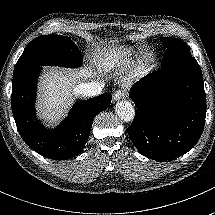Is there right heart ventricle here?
Listing matches in <instances>:
<instances>
[{
  "label": "right heart ventricle",
  "mask_w": 215,
  "mask_h": 215,
  "mask_svg": "<svg viewBox=\"0 0 215 215\" xmlns=\"http://www.w3.org/2000/svg\"><path fill=\"white\" fill-rule=\"evenodd\" d=\"M132 52V47L127 45H118L110 48L97 60V66L100 71L108 72L113 68L123 64Z\"/></svg>",
  "instance_id": "1"
}]
</instances>
